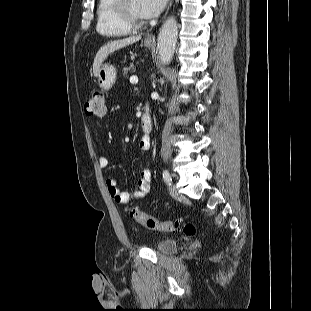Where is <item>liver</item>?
Instances as JSON below:
<instances>
[{"mask_svg": "<svg viewBox=\"0 0 311 311\" xmlns=\"http://www.w3.org/2000/svg\"><path fill=\"white\" fill-rule=\"evenodd\" d=\"M141 39V36H131L120 40L112 41L104 46H102L97 52L94 62H93V74L95 77L98 75L99 68L101 67L103 61L108 57L109 54L116 50H119L127 45H131Z\"/></svg>", "mask_w": 311, "mask_h": 311, "instance_id": "obj_1", "label": "liver"}]
</instances>
